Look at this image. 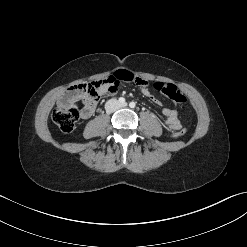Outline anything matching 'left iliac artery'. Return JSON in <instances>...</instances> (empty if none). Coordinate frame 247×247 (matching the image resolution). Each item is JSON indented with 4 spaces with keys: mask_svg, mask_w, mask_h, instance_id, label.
Listing matches in <instances>:
<instances>
[{
    "mask_svg": "<svg viewBox=\"0 0 247 247\" xmlns=\"http://www.w3.org/2000/svg\"><path fill=\"white\" fill-rule=\"evenodd\" d=\"M129 106H130L131 108H135L136 104H135V102H130Z\"/></svg>",
    "mask_w": 247,
    "mask_h": 247,
    "instance_id": "44dca946",
    "label": "left iliac artery"
}]
</instances>
